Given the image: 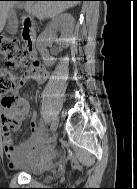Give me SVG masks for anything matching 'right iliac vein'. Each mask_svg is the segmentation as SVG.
<instances>
[{"mask_svg":"<svg viewBox=\"0 0 137 189\" xmlns=\"http://www.w3.org/2000/svg\"><path fill=\"white\" fill-rule=\"evenodd\" d=\"M58 127V121L54 120L51 124V133H54Z\"/></svg>","mask_w":137,"mask_h":189,"instance_id":"63e3f726","label":"right iliac vein"}]
</instances>
